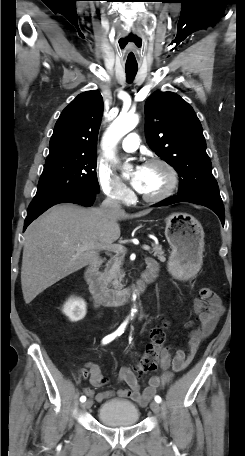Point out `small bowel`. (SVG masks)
Segmentation results:
<instances>
[{"label": "small bowel", "instance_id": "small-bowel-1", "mask_svg": "<svg viewBox=\"0 0 245 456\" xmlns=\"http://www.w3.org/2000/svg\"><path fill=\"white\" fill-rule=\"evenodd\" d=\"M194 310L198 325L194 327L191 322L187 327L192 328L188 334L187 349L173 350L167 347L163 350L160 365L162 368H171L172 372H166L162 376L153 375L149 379L148 386L140 391L139 383L129 367H123L118 374V380L128 385L127 389H117L115 392L105 391L95 394L91 389H84L87 396L102 402L113 395L130 398L139 405H146L159 388L165 385L173 376V373L184 370L194 359L201 342L215 329L217 322L224 312L220 297L211 289L203 288L194 300ZM89 380L92 386L101 387L108 382L102 374L101 368L96 363L88 364Z\"/></svg>", "mask_w": 245, "mask_h": 456}]
</instances>
